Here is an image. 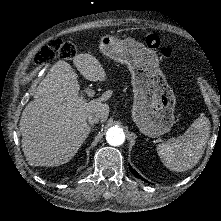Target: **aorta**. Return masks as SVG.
Instances as JSON below:
<instances>
[{
  "instance_id": "obj_1",
  "label": "aorta",
  "mask_w": 221,
  "mask_h": 221,
  "mask_svg": "<svg viewBox=\"0 0 221 221\" xmlns=\"http://www.w3.org/2000/svg\"><path fill=\"white\" fill-rule=\"evenodd\" d=\"M106 140L112 146H120L125 141V133L120 127H110L106 133Z\"/></svg>"
}]
</instances>
